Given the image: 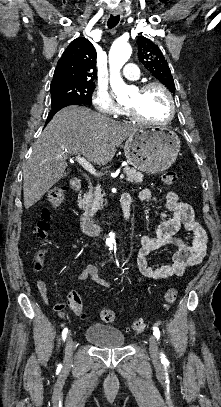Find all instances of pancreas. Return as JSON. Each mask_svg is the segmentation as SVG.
Listing matches in <instances>:
<instances>
[{"label":"pancreas","instance_id":"cf45deb5","mask_svg":"<svg viewBox=\"0 0 221 407\" xmlns=\"http://www.w3.org/2000/svg\"><path fill=\"white\" fill-rule=\"evenodd\" d=\"M126 174V180L131 183H141L143 181V174L136 171V169L126 166L123 169ZM102 189L100 185L95 188H91L87 194L84 195V211L89 214V216H94V214L102 208L103 204Z\"/></svg>","mask_w":221,"mask_h":407}]
</instances>
